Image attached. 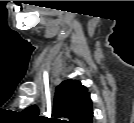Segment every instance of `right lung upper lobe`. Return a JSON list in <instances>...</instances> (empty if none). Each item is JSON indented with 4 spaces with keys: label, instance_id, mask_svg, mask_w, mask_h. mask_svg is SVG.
Masks as SVG:
<instances>
[{
    "label": "right lung upper lobe",
    "instance_id": "right-lung-upper-lobe-1",
    "mask_svg": "<svg viewBox=\"0 0 134 123\" xmlns=\"http://www.w3.org/2000/svg\"><path fill=\"white\" fill-rule=\"evenodd\" d=\"M28 116L39 118L38 108L33 105L24 111ZM54 116L66 118L68 123H92L93 110L90 93L78 80H65L57 88L54 98ZM61 121L60 119H53Z\"/></svg>",
    "mask_w": 134,
    "mask_h": 123
}]
</instances>
